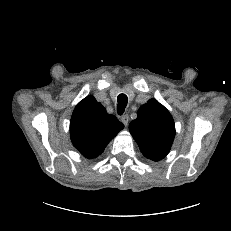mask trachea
Listing matches in <instances>:
<instances>
[{
  "instance_id": "1",
  "label": "trachea",
  "mask_w": 231,
  "mask_h": 231,
  "mask_svg": "<svg viewBox=\"0 0 231 231\" xmlns=\"http://www.w3.org/2000/svg\"><path fill=\"white\" fill-rule=\"evenodd\" d=\"M117 112L119 115H122L125 111V107L128 102V98L125 94H120L117 97Z\"/></svg>"
}]
</instances>
